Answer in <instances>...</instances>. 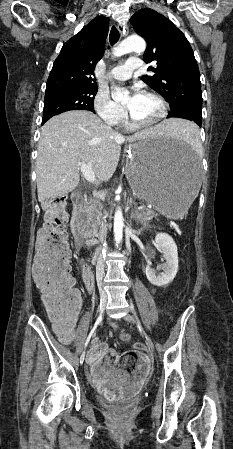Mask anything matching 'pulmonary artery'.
Returning a JSON list of instances; mask_svg holds the SVG:
<instances>
[{
	"instance_id": "1",
	"label": "pulmonary artery",
	"mask_w": 233,
	"mask_h": 449,
	"mask_svg": "<svg viewBox=\"0 0 233 449\" xmlns=\"http://www.w3.org/2000/svg\"><path fill=\"white\" fill-rule=\"evenodd\" d=\"M141 62L138 58H130L124 64L117 65L112 69V77L119 81L127 80L134 71L141 69Z\"/></svg>"
}]
</instances>
